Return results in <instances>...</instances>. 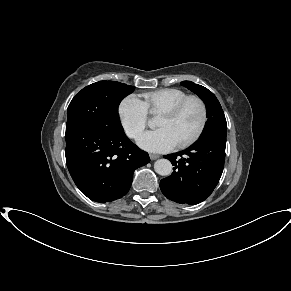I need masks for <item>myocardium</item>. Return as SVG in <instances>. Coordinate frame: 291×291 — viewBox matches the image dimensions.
Here are the masks:
<instances>
[{
    "label": "myocardium",
    "instance_id": "1",
    "mask_svg": "<svg viewBox=\"0 0 291 291\" xmlns=\"http://www.w3.org/2000/svg\"><path fill=\"white\" fill-rule=\"evenodd\" d=\"M192 100H195L200 104L201 109H202V119L196 133L193 136H191L189 139L185 140L184 142L177 144V147L180 149H184L193 145L195 142H197L200 139V137L204 133L205 128L207 126V122H208V108L205 101L197 95H188L187 97L179 101L177 104H175L174 106H172L171 108L165 110L164 112L160 114V116L162 117L175 118L176 116L180 114V112L183 110L186 104Z\"/></svg>",
    "mask_w": 291,
    "mask_h": 291
}]
</instances>
